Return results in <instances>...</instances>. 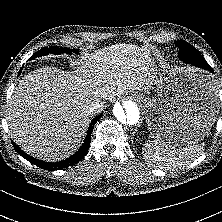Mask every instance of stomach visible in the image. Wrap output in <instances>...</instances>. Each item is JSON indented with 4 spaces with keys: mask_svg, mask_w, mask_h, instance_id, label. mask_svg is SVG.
I'll list each match as a JSON object with an SVG mask.
<instances>
[{
    "mask_svg": "<svg viewBox=\"0 0 222 222\" xmlns=\"http://www.w3.org/2000/svg\"><path fill=\"white\" fill-rule=\"evenodd\" d=\"M159 64L157 94L151 98L132 92L146 108L151 136L170 146L203 140L218 114L217 90L211 77L194 69L171 70Z\"/></svg>",
    "mask_w": 222,
    "mask_h": 222,
    "instance_id": "0dacf381",
    "label": "stomach"
}]
</instances>
